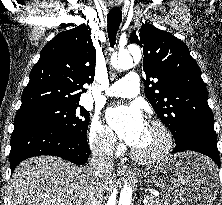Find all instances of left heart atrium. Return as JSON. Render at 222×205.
Instances as JSON below:
<instances>
[{
	"label": "left heart atrium",
	"instance_id": "1",
	"mask_svg": "<svg viewBox=\"0 0 222 205\" xmlns=\"http://www.w3.org/2000/svg\"><path fill=\"white\" fill-rule=\"evenodd\" d=\"M107 119L119 137L130 146L137 144L146 125L139 107L135 105L111 108Z\"/></svg>",
	"mask_w": 222,
	"mask_h": 205
}]
</instances>
